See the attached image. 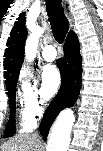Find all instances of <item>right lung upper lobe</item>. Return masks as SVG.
<instances>
[{
  "mask_svg": "<svg viewBox=\"0 0 103 151\" xmlns=\"http://www.w3.org/2000/svg\"><path fill=\"white\" fill-rule=\"evenodd\" d=\"M17 20L7 40L8 48L4 54L5 82L17 80L24 59V45L27 37L25 13H21Z\"/></svg>",
  "mask_w": 103,
  "mask_h": 151,
  "instance_id": "right-lung-upper-lobe-1",
  "label": "right lung upper lobe"
}]
</instances>
